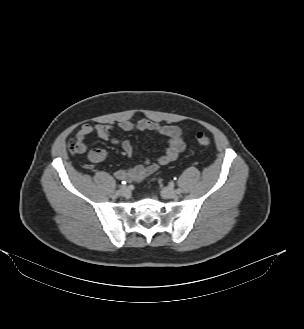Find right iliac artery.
I'll use <instances>...</instances> for the list:
<instances>
[{
  "label": "right iliac artery",
  "instance_id": "82829eb1",
  "mask_svg": "<svg viewBox=\"0 0 304 329\" xmlns=\"http://www.w3.org/2000/svg\"><path fill=\"white\" fill-rule=\"evenodd\" d=\"M115 194H116V195H119V194H120V190H117V191L115 192Z\"/></svg>",
  "mask_w": 304,
  "mask_h": 329
}]
</instances>
